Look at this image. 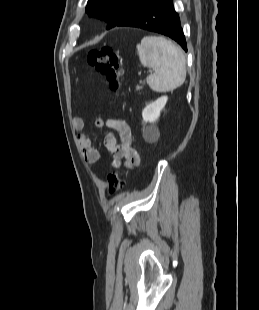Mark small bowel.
Segmentation results:
<instances>
[{
  "mask_svg": "<svg viewBox=\"0 0 259 310\" xmlns=\"http://www.w3.org/2000/svg\"><path fill=\"white\" fill-rule=\"evenodd\" d=\"M95 125L99 129L108 128L118 132L120 142H117L115 134L110 131L104 138V146L112 155V166L120 167L124 164L128 167H135L140 162L138 152L134 149L132 142V130L128 123L120 119H107L103 120L102 117H97ZM73 129L78 132L77 145L81 151L84 159L88 163H96L100 159L99 151L93 147L90 138L81 133L84 129V121L80 117H75L72 120Z\"/></svg>",
  "mask_w": 259,
  "mask_h": 310,
  "instance_id": "1",
  "label": "small bowel"
}]
</instances>
